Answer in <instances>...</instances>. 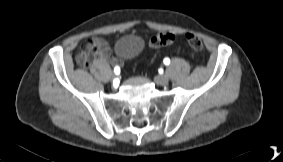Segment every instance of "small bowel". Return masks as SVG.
I'll return each mask as SVG.
<instances>
[{"label":"small bowel","instance_id":"small-bowel-1","mask_svg":"<svg viewBox=\"0 0 283 162\" xmlns=\"http://www.w3.org/2000/svg\"><path fill=\"white\" fill-rule=\"evenodd\" d=\"M82 52L94 54L102 61H112L110 46L106 40L101 37H92L91 40L83 45Z\"/></svg>","mask_w":283,"mask_h":162}]
</instances>
